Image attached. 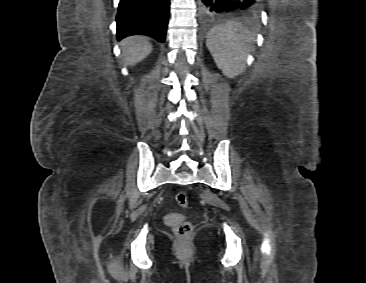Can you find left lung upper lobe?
Returning a JSON list of instances; mask_svg holds the SVG:
<instances>
[{
    "mask_svg": "<svg viewBox=\"0 0 366 283\" xmlns=\"http://www.w3.org/2000/svg\"><path fill=\"white\" fill-rule=\"evenodd\" d=\"M247 12H249L251 14H257L259 12V7L255 10H250V11H247Z\"/></svg>",
    "mask_w": 366,
    "mask_h": 283,
    "instance_id": "left-lung-upper-lobe-1",
    "label": "left lung upper lobe"
}]
</instances>
